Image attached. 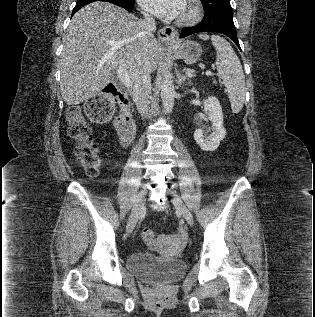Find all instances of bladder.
<instances>
[{"mask_svg": "<svg viewBox=\"0 0 315 317\" xmlns=\"http://www.w3.org/2000/svg\"><path fill=\"white\" fill-rule=\"evenodd\" d=\"M127 268L146 282L170 283L184 274L187 264L182 259H167L138 252L127 258Z\"/></svg>", "mask_w": 315, "mask_h": 317, "instance_id": "bladder-1", "label": "bladder"}]
</instances>
